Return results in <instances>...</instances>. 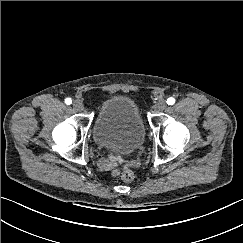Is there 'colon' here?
I'll list each match as a JSON object with an SVG mask.
<instances>
[{
    "label": "colon",
    "instance_id": "obj_1",
    "mask_svg": "<svg viewBox=\"0 0 243 243\" xmlns=\"http://www.w3.org/2000/svg\"><path fill=\"white\" fill-rule=\"evenodd\" d=\"M120 178L124 182H132L135 178L134 173L129 169H124L120 173Z\"/></svg>",
    "mask_w": 243,
    "mask_h": 243
}]
</instances>
